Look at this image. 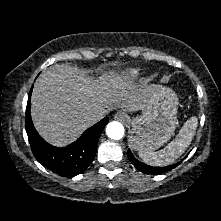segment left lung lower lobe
I'll return each mask as SVG.
<instances>
[{"label": "left lung lower lobe", "instance_id": "left-lung-lower-lobe-1", "mask_svg": "<svg viewBox=\"0 0 221 221\" xmlns=\"http://www.w3.org/2000/svg\"><path fill=\"white\" fill-rule=\"evenodd\" d=\"M128 158L130 162L141 172L145 174H160L165 173L167 171H170L171 169L177 167L181 162H178L177 164L165 166V167H152L148 166L140 161H138L131 153L130 150H128Z\"/></svg>", "mask_w": 221, "mask_h": 221}]
</instances>
